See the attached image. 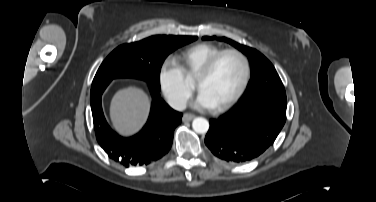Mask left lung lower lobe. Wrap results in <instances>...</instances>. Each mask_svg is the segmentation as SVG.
I'll use <instances>...</instances> for the list:
<instances>
[{
  "instance_id": "0a47b994",
  "label": "left lung lower lobe",
  "mask_w": 376,
  "mask_h": 202,
  "mask_svg": "<svg viewBox=\"0 0 376 202\" xmlns=\"http://www.w3.org/2000/svg\"><path fill=\"white\" fill-rule=\"evenodd\" d=\"M286 107L268 97L240 103L209 121L205 144L215 156L228 162L252 160L274 143L285 124Z\"/></svg>"
}]
</instances>
